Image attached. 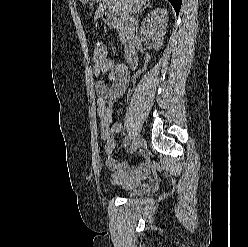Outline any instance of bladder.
Listing matches in <instances>:
<instances>
[{"label": "bladder", "instance_id": "31cf9c89", "mask_svg": "<svg viewBox=\"0 0 248 247\" xmlns=\"http://www.w3.org/2000/svg\"><path fill=\"white\" fill-rule=\"evenodd\" d=\"M149 185L148 184H140L132 190L125 192L126 197H136L147 194L149 192Z\"/></svg>", "mask_w": 248, "mask_h": 247}]
</instances>
